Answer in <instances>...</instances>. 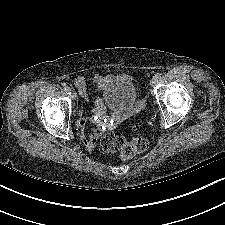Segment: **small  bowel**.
<instances>
[{
    "label": "small bowel",
    "instance_id": "c3829d8e",
    "mask_svg": "<svg viewBox=\"0 0 225 225\" xmlns=\"http://www.w3.org/2000/svg\"><path fill=\"white\" fill-rule=\"evenodd\" d=\"M111 75H101V74H95L91 82L96 84L97 86L104 88L105 85L109 82L111 79ZM76 88L79 90L80 94L82 95L83 98L87 99V84L88 81L84 77H78L75 82H74ZM103 115V104L100 99H96L95 101V107L93 109V116L92 119L95 122H99ZM88 116L84 109L79 110V116L77 119V127L79 130V133L81 135V138L85 144L86 147L88 148H94L96 141H97V135L100 132V128L97 127L94 129V131L89 134L86 131V122H87Z\"/></svg>",
    "mask_w": 225,
    "mask_h": 225
}]
</instances>
